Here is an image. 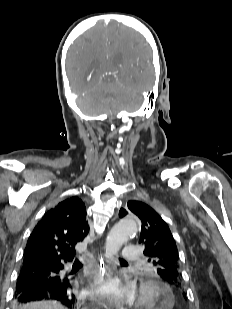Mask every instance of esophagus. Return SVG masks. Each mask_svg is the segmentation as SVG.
Instances as JSON below:
<instances>
[{"instance_id": "obj_1", "label": "esophagus", "mask_w": 232, "mask_h": 309, "mask_svg": "<svg viewBox=\"0 0 232 309\" xmlns=\"http://www.w3.org/2000/svg\"><path fill=\"white\" fill-rule=\"evenodd\" d=\"M107 269L108 265L105 258L103 257L98 258L97 261L93 264V287L95 289L99 286L100 283L104 281L105 277L108 276ZM94 300L98 303L99 307L107 309L105 303L101 301L98 296H95Z\"/></svg>"}]
</instances>
